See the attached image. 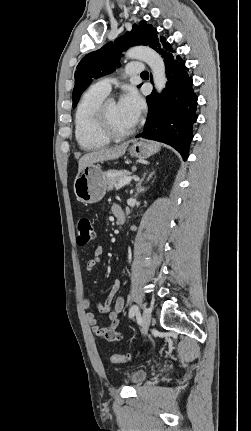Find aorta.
Segmentation results:
<instances>
[{"label":"aorta","instance_id":"obj_1","mask_svg":"<svg viewBox=\"0 0 251 431\" xmlns=\"http://www.w3.org/2000/svg\"><path fill=\"white\" fill-rule=\"evenodd\" d=\"M125 56L129 59H138L146 62L153 75V81L158 93L166 87L167 77L165 64L162 57L153 49L145 46H138L129 49Z\"/></svg>","mask_w":251,"mask_h":431}]
</instances>
